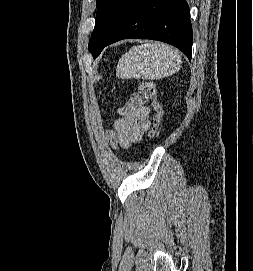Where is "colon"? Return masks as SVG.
<instances>
[{
	"label": "colon",
	"instance_id": "1",
	"mask_svg": "<svg viewBox=\"0 0 253 271\" xmlns=\"http://www.w3.org/2000/svg\"><path fill=\"white\" fill-rule=\"evenodd\" d=\"M140 94L149 98L154 110L153 123L149 130L150 139L157 137L162 128V110L158 101L155 85L151 82H143L139 86Z\"/></svg>",
	"mask_w": 253,
	"mask_h": 271
}]
</instances>
